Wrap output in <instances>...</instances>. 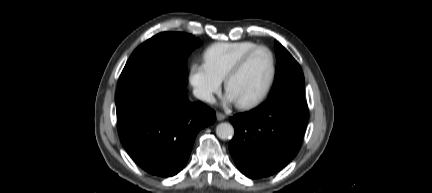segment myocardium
Wrapping results in <instances>:
<instances>
[{
  "label": "myocardium",
  "mask_w": 432,
  "mask_h": 193,
  "mask_svg": "<svg viewBox=\"0 0 432 193\" xmlns=\"http://www.w3.org/2000/svg\"><path fill=\"white\" fill-rule=\"evenodd\" d=\"M259 50H266L271 57V73L268 80V83L264 90L254 99L244 101V102H236V106L240 109H250L253 108L260 103H262L269 93L272 90L273 84L276 79L277 74V60L276 55L274 51L267 45H257L256 47L252 48L250 51H248L244 56H242L228 71L225 79H224V86L225 90L228 93L229 85L232 79L242 70V68L246 65V63L249 61V59Z\"/></svg>",
  "instance_id": "obj_1"
}]
</instances>
